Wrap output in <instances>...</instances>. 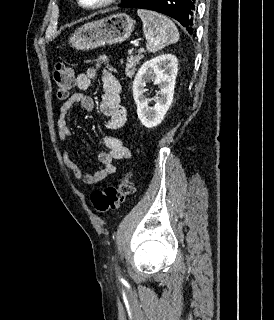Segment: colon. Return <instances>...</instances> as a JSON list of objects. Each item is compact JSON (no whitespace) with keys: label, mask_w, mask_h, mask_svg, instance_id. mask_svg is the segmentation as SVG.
Returning a JSON list of instances; mask_svg holds the SVG:
<instances>
[{"label":"colon","mask_w":274,"mask_h":320,"mask_svg":"<svg viewBox=\"0 0 274 320\" xmlns=\"http://www.w3.org/2000/svg\"><path fill=\"white\" fill-rule=\"evenodd\" d=\"M53 79L57 98L66 100L75 84L73 70L65 62H57L53 69ZM132 193L133 184L130 177L126 175L116 186H108L103 190L92 192L90 201L97 211L106 213L125 203Z\"/></svg>","instance_id":"colon-1"}]
</instances>
